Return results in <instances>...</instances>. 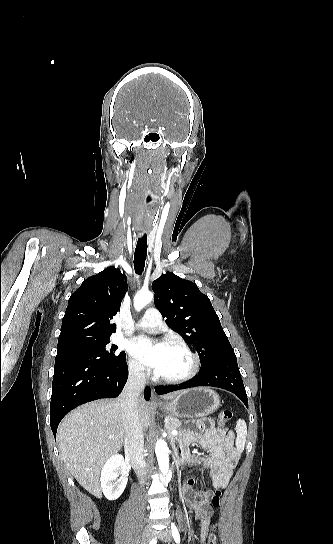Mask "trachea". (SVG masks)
<instances>
[{"mask_svg":"<svg viewBox=\"0 0 333 544\" xmlns=\"http://www.w3.org/2000/svg\"><path fill=\"white\" fill-rule=\"evenodd\" d=\"M147 256V236L146 234L140 237L137 241V246L134 254V269L136 274L141 275L144 271L145 261Z\"/></svg>","mask_w":333,"mask_h":544,"instance_id":"1","label":"trachea"}]
</instances>
